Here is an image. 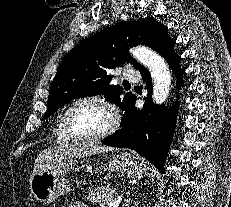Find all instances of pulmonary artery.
Masks as SVG:
<instances>
[{
  "instance_id": "e3ab8cb5",
  "label": "pulmonary artery",
  "mask_w": 231,
  "mask_h": 207,
  "mask_svg": "<svg viewBox=\"0 0 231 207\" xmlns=\"http://www.w3.org/2000/svg\"><path fill=\"white\" fill-rule=\"evenodd\" d=\"M122 77L128 81L136 82L140 78V74L137 70L131 68H125L122 70Z\"/></svg>"
}]
</instances>
